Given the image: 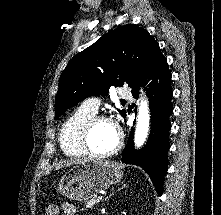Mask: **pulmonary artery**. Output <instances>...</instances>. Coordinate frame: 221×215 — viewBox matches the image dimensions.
Here are the masks:
<instances>
[{
    "label": "pulmonary artery",
    "instance_id": "obj_1",
    "mask_svg": "<svg viewBox=\"0 0 221 215\" xmlns=\"http://www.w3.org/2000/svg\"><path fill=\"white\" fill-rule=\"evenodd\" d=\"M120 96L123 99H129L131 98V93L127 90H122L120 93ZM100 102L98 99L96 98H89L86 99L85 101H83L81 107H83L84 109L96 114L99 108Z\"/></svg>",
    "mask_w": 221,
    "mask_h": 215
}]
</instances>
